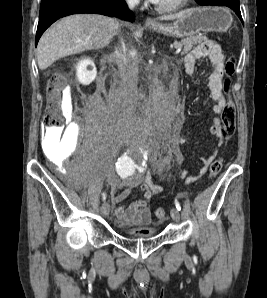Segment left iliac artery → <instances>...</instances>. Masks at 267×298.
Returning a JSON list of instances; mask_svg holds the SVG:
<instances>
[{"instance_id":"1","label":"left iliac artery","mask_w":267,"mask_h":298,"mask_svg":"<svg viewBox=\"0 0 267 298\" xmlns=\"http://www.w3.org/2000/svg\"><path fill=\"white\" fill-rule=\"evenodd\" d=\"M175 206H176V208H177L178 211L181 210V205H180V203L177 200H175Z\"/></svg>"}]
</instances>
